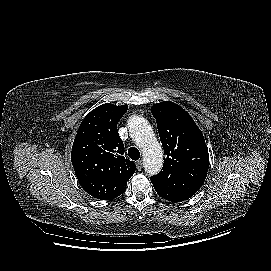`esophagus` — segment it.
<instances>
[{"label": "esophagus", "mask_w": 271, "mask_h": 271, "mask_svg": "<svg viewBox=\"0 0 271 271\" xmlns=\"http://www.w3.org/2000/svg\"><path fill=\"white\" fill-rule=\"evenodd\" d=\"M136 166H137V169L140 171L143 167V163H142V160H138L137 163H136Z\"/></svg>", "instance_id": "34e87169"}]
</instances>
